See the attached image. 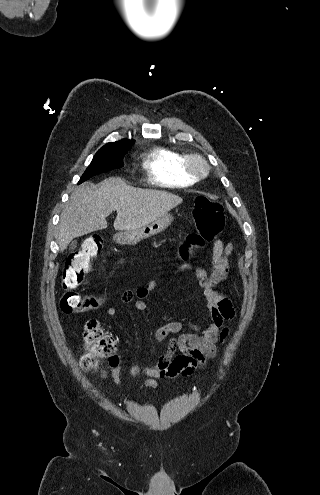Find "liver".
I'll return each mask as SVG.
<instances>
[{"mask_svg": "<svg viewBox=\"0 0 320 495\" xmlns=\"http://www.w3.org/2000/svg\"><path fill=\"white\" fill-rule=\"evenodd\" d=\"M182 201L166 191L130 187L118 177L96 187L84 183L71 194L60 216L57 243L64 251L73 239L106 229V218L113 211H117L115 230L127 231L151 223Z\"/></svg>", "mask_w": 320, "mask_h": 495, "instance_id": "liver-1", "label": "liver"}]
</instances>
